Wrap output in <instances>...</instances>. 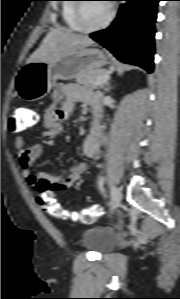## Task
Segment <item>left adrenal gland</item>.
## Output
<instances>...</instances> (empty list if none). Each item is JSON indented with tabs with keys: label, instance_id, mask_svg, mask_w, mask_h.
I'll return each instance as SVG.
<instances>
[{
	"label": "left adrenal gland",
	"instance_id": "obj_1",
	"mask_svg": "<svg viewBox=\"0 0 180 299\" xmlns=\"http://www.w3.org/2000/svg\"><path fill=\"white\" fill-rule=\"evenodd\" d=\"M110 89H111L110 83H107V84H106L105 91H106V92H109Z\"/></svg>",
	"mask_w": 180,
	"mask_h": 299
}]
</instances>
